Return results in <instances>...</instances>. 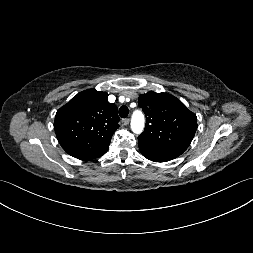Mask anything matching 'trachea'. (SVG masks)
Wrapping results in <instances>:
<instances>
[{
	"label": "trachea",
	"instance_id": "1",
	"mask_svg": "<svg viewBox=\"0 0 253 253\" xmlns=\"http://www.w3.org/2000/svg\"><path fill=\"white\" fill-rule=\"evenodd\" d=\"M128 113H129V109L127 106H121L120 109H119V115L122 117V118H126L128 116Z\"/></svg>",
	"mask_w": 253,
	"mask_h": 253
}]
</instances>
